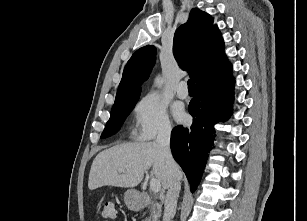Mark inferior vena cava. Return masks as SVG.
I'll use <instances>...</instances> for the list:
<instances>
[{
    "mask_svg": "<svg viewBox=\"0 0 307 221\" xmlns=\"http://www.w3.org/2000/svg\"><path fill=\"white\" fill-rule=\"evenodd\" d=\"M170 135L171 126L164 125L160 128L156 139V144L163 152L166 164L172 172L171 183L165 197L163 221H171L174 217L176 213L177 198L181 189L180 180L174 174L176 163L170 151Z\"/></svg>",
    "mask_w": 307,
    "mask_h": 221,
    "instance_id": "1",
    "label": "inferior vena cava"
}]
</instances>
